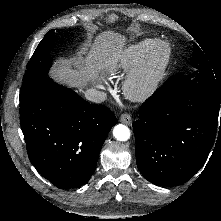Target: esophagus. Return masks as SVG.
Instances as JSON below:
<instances>
[{"instance_id":"obj_1","label":"esophagus","mask_w":221,"mask_h":221,"mask_svg":"<svg viewBox=\"0 0 221 221\" xmlns=\"http://www.w3.org/2000/svg\"><path fill=\"white\" fill-rule=\"evenodd\" d=\"M120 122L126 125H132V117L128 113H124L120 116Z\"/></svg>"}]
</instances>
